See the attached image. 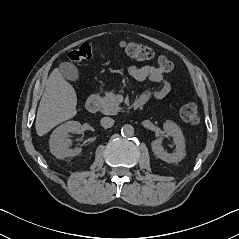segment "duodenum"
Listing matches in <instances>:
<instances>
[{
	"instance_id": "410a0bca",
	"label": "duodenum",
	"mask_w": 239,
	"mask_h": 239,
	"mask_svg": "<svg viewBox=\"0 0 239 239\" xmlns=\"http://www.w3.org/2000/svg\"><path fill=\"white\" fill-rule=\"evenodd\" d=\"M144 105V102L141 100H137L134 105L133 109L138 110ZM86 109L90 113H96L99 109V96L98 94L91 95L88 100L86 101Z\"/></svg>"
}]
</instances>
